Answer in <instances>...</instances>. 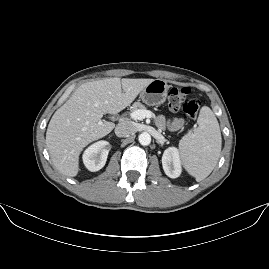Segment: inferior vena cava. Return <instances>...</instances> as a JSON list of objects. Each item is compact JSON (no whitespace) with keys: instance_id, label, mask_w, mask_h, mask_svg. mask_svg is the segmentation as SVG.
I'll use <instances>...</instances> for the list:
<instances>
[{"instance_id":"obj_1","label":"inferior vena cava","mask_w":269,"mask_h":269,"mask_svg":"<svg viewBox=\"0 0 269 269\" xmlns=\"http://www.w3.org/2000/svg\"><path fill=\"white\" fill-rule=\"evenodd\" d=\"M137 131L135 123L132 121H123L117 124L115 127V134L118 137H124L131 135Z\"/></svg>"}]
</instances>
